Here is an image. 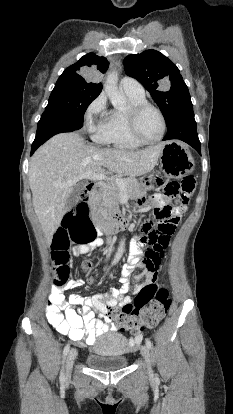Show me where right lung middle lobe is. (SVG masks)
Masks as SVG:
<instances>
[{
	"label": "right lung middle lobe",
	"instance_id": "1",
	"mask_svg": "<svg viewBox=\"0 0 233 414\" xmlns=\"http://www.w3.org/2000/svg\"><path fill=\"white\" fill-rule=\"evenodd\" d=\"M100 94L98 91L56 83L51 92L45 111L83 122L84 113L89 104Z\"/></svg>",
	"mask_w": 233,
	"mask_h": 414
}]
</instances>
